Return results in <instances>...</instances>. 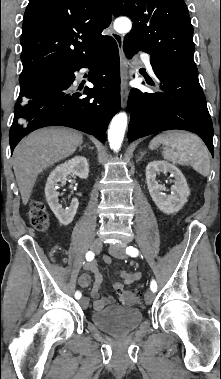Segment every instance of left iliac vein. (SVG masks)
<instances>
[{"label": "left iliac vein", "mask_w": 221, "mask_h": 379, "mask_svg": "<svg viewBox=\"0 0 221 379\" xmlns=\"http://www.w3.org/2000/svg\"><path fill=\"white\" fill-rule=\"evenodd\" d=\"M126 244L125 243H118L110 246L109 252L111 255L117 258L124 259L126 258L125 254ZM155 294L153 291H147L145 293L144 299L146 304H151L154 301Z\"/></svg>", "instance_id": "left-iliac-vein-1"}]
</instances>
